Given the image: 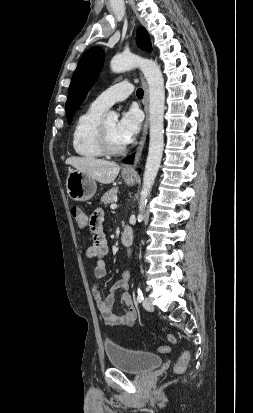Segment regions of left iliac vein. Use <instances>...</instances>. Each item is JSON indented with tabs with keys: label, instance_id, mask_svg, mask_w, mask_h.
Wrapping results in <instances>:
<instances>
[{
	"label": "left iliac vein",
	"instance_id": "4c4485c4",
	"mask_svg": "<svg viewBox=\"0 0 253 413\" xmlns=\"http://www.w3.org/2000/svg\"><path fill=\"white\" fill-rule=\"evenodd\" d=\"M143 307H144V309L147 310V311H153V310H154V306H153L151 300H150L148 297H146V298L144 299V301H143Z\"/></svg>",
	"mask_w": 253,
	"mask_h": 413
}]
</instances>
